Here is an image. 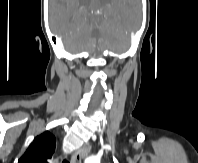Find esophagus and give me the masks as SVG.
Listing matches in <instances>:
<instances>
[{"label":"esophagus","mask_w":198,"mask_h":163,"mask_svg":"<svg viewBox=\"0 0 198 163\" xmlns=\"http://www.w3.org/2000/svg\"><path fill=\"white\" fill-rule=\"evenodd\" d=\"M91 145H84L82 148L76 150L71 156V163H81V161L90 153Z\"/></svg>","instance_id":"esophagus-1"}]
</instances>
